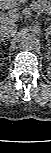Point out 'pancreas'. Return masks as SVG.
<instances>
[{"instance_id":"cf45deb5","label":"pancreas","mask_w":51,"mask_h":153,"mask_svg":"<svg viewBox=\"0 0 51 153\" xmlns=\"http://www.w3.org/2000/svg\"><path fill=\"white\" fill-rule=\"evenodd\" d=\"M31 10L38 13L44 12L49 15L51 13V2L48 0H33L29 7L25 9L24 14H28Z\"/></svg>"}]
</instances>
